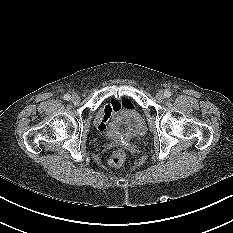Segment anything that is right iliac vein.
<instances>
[{
	"label": "right iliac vein",
	"instance_id": "obj_1",
	"mask_svg": "<svg viewBox=\"0 0 233 233\" xmlns=\"http://www.w3.org/2000/svg\"><path fill=\"white\" fill-rule=\"evenodd\" d=\"M71 101L74 102V103H77L80 101V97L78 94L76 93H73L72 96H71Z\"/></svg>",
	"mask_w": 233,
	"mask_h": 233
}]
</instances>
